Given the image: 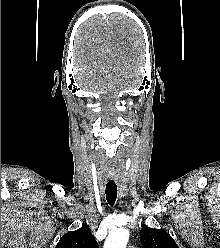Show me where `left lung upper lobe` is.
<instances>
[{
    "mask_svg": "<svg viewBox=\"0 0 220 248\" xmlns=\"http://www.w3.org/2000/svg\"><path fill=\"white\" fill-rule=\"evenodd\" d=\"M140 241L143 248H179L165 230L143 226Z\"/></svg>",
    "mask_w": 220,
    "mask_h": 248,
    "instance_id": "5c2ea615",
    "label": "left lung upper lobe"
}]
</instances>
